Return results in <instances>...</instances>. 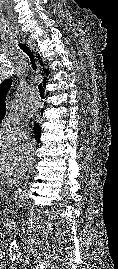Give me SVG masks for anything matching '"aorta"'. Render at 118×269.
Masks as SVG:
<instances>
[{
    "mask_svg": "<svg viewBox=\"0 0 118 269\" xmlns=\"http://www.w3.org/2000/svg\"><path fill=\"white\" fill-rule=\"evenodd\" d=\"M27 192L25 189L23 188H17L14 192V203L17 207L21 208L25 205L26 201H27ZM19 247L17 244V241L15 239H13L10 243V251L11 252H18Z\"/></svg>",
    "mask_w": 118,
    "mask_h": 269,
    "instance_id": "aorta-1",
    "label": "aorta"
}]
</instances>
